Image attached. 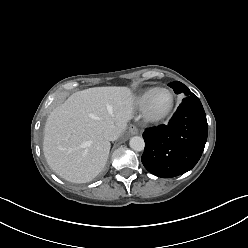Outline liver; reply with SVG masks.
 Instances as JSON below:
<instances>
[{
  "label": "liver",
  "mask_w": 248,
  "mask_h": 248,
  "mask_svg": "<svg viewBox=\"0 0 248 248\" xmlns=\"http://www.w3.org/2000/svg\"><path fill=\"white\" fill-rule=\"evenodd\" d=\"M134 102L127 87H94L72 94L45 124L43 151L51 169L75 183L95 178L111 147L104 129L114 125L122 133L133 117Z\"/></svg>",
  "instance_id": "6515ba94"
}]
</instances>
